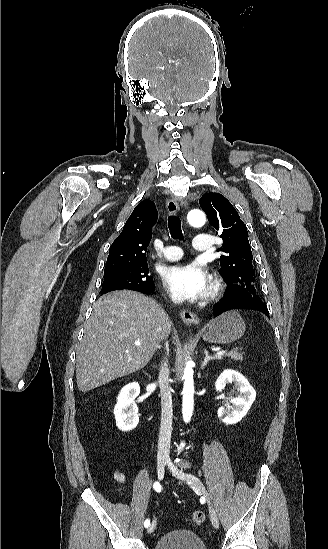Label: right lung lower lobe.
Wrapping results in <instances>:
<instances>
[{
  "label": "right lung lower lobe",
  "instance_id": "98d812e1",
  "mask_svg": "<svg viewBox=\"0 0 328 549\" xmlns=\"http://www.w3.org/2000/svg\"><path fill=\"white\" fill-rule=\"evenodd\" d=\"M154 290H155V287L152 288L151 290H148V291H145V292H142V293H144V294H149V293H152Z\"/></svg>",
  "mask_w": 328,
  "mask_h": 549
}]
</instances>
